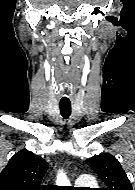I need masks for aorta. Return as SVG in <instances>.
Returning <instances> with one entry per match:
<instances>
[{"label":"aorta","instance_id":"1","mask_svg":"<svg viewBox=\"0 0 135 190\" xmlns=\"http://www.w3.org/2000/svg\"><path fill=\"white\" fill-rule=\"evenodd\" d=\"M58 182L61 184H69L67 178L64 175H60Z\"/></svg>","mask_w":135,"mask_h":190}]
</instances>
